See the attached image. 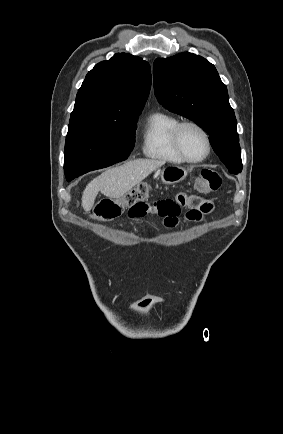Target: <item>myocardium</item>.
Instances as JSON below:
<instances>
[{
	"label": "myocardium",
	"instance_id": "obj_1",
	"mask_svg": "<svg viewBox=\"0 0 283 434\" xmlns=\"http://www.w3.org/2000/svg\"><path fill=\"white\" fill-rule=\"evenodd\" d=\"M194 127L196 128L204 137L205 143H206V152L205 154L200 157V158H190L189 156L186 155V153L184 152L182 146H181V141H180V135H181V131L185 128V127ZM172 142H173V146L175 151L177 152V154L185 161L188 163H200L203 162L204 160H206L212 150V145H211V140H210V136L208 134V132L206 131V129L200 125L199 123L192 121V120H186V121H180L174 128L173 130V134H172Z\"/></svg>",
	"mask_w": 283,
	"mask_h": 434
}]
</instances>
